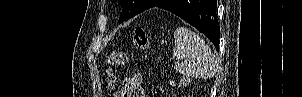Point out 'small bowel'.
Instances as JSON below:
<instances>
[{"label": "small bowel", "instance_id": "obj_1", "mask_svg": "<svg viewBox=\"0 0 302 97\" xmlns=\"http://www.w3.org/2000/svg\"><path fill=\"white\" fill-rule=\"evenodd\" d=\"M115 97H146L142 75L135 73L125 77L121 90L115 94Z\"/></svg>", "mask_w": 302, "mask_h": 97}]
</instances>
